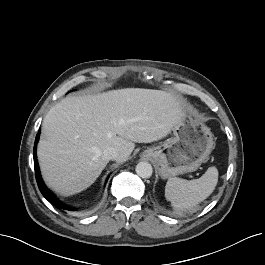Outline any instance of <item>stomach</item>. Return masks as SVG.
Returning <instances> with one entry per match:
<instances>
[{
  "label": "stomach",
  "mask_w": 265,
  "mask_h": 265,
  "mask_svg": "<svg viewBox=\"0 0 265 265\" xmlns=\"http://www.w3.org/2000/svg\"><path fill=\"white\" fill-rule=\"evenodd\" d=\"M210 128L193 114H185L173 128V136L162 145L146 149L142 156L151 159L163 179L197 170L213 150Z\"/></svg>",
  "instance_id": "obj_1"
}]
</instances>
